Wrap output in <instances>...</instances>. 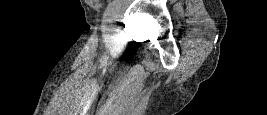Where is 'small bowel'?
Returning a JSON list of instances; mask_svg holds the SVG:
<instances>
[{
	"label": "small bowel",
	"instance_id": "1",
	"mask_svg": "<svg viewBox=\"0 0 267 115\" xmlns=\"http://www.w3.org/2000/svg\"><path fill=\"white\" fill-rule=\"evenodd\" d=\"M88 2L93 6H97L98 5V3L96 1H88Z\"/></svg>",
	"mask_w": 267,
	"mask_h": 115
}]
</instances>
